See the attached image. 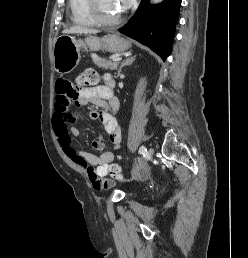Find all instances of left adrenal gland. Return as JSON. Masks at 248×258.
<instances>
[{
	"mask_svg": "<svg viewBox=\"0 0 248 258\" xmlns=\"http://www.w3.org/2000/svg\"><path fill=\"white\" fill-rule=\"evenodd\" d=\"M136 59V56H129L121 62V65L118 70V76L121 74V70L124 66L131 65Z\"/></svg>",
	"mask_w": 248,
	"mask_h": 258,
	"instance_id": "obj_1",
	"label": "left adrenal gland"
}]
</instances>
